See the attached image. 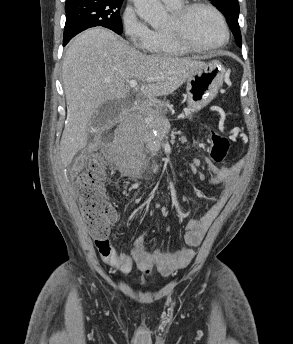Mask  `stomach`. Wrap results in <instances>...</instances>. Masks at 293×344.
Instances as JSON below:
<instances>
[{
	"instance_id": "obj_1",
	"label": "stomach",
	"mask_w": 293,
	"mask_h": 344,
	"mask_svg": "<svg viewBox=\"0 0 293 344\" xmlns=\"http://www.w3.org/2000/svg\"><path fill=\"white\" fill-rule=\"evenodd\" d=\"M225 68L219 61L205 63L186 80L188 114L208 105L223 84Z\"/></svg>"
}]
</instances>
